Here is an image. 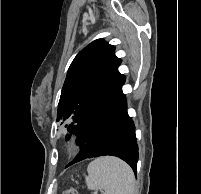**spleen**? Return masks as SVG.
<instances>
[{"label":"spleen","instance_id":"obj_1","mask_svg":"<svg viewBox=\"0 0 201 194\" xmlns=\"http://www.w3.org/2000/svg\"><path fill=\"white\" fill-rule=\"evenodd\" d=\"M87 171L86 184L90 190L103 194H134V173L117 157L97 158L88 165Z\"/></svg>","mask_w":201,"mask_h":194}]
</instances>
